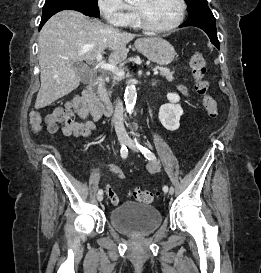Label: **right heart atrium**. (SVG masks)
<instances>
[{
	"label": "right heart atrium",
	"mask_w": 261,
	"mask_h": 273,
	"mask_svg": "<svg viewBox=\"0 0 261 273\" xmlns=\"http://www.w3.org/2000/svg\"><path fill=\"white\" fill-rule=\"evenodd\" d=\"M98 7L104 19L112 26L125 27L132 9L124 0H98Z\"/></svg>",
	"instance_id": "d8ad5b80"
}]
</instances>
